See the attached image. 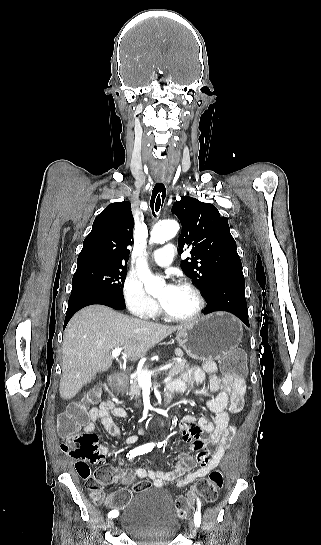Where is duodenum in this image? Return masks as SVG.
<instances>
[{
    "instance_id": "1",
    "label": "duodenum",
    "mask_w": 321,
    "mask_h": 545,
    "mask_svg": "<svg viewBox=\"0 0 321 545\" xmlns=\"http://www.w3.org/2000/svg\"><path fill=\"white\" fill-rule=\"evenodd\" d=\"M124 383H125V378L119 372H113L108 377V385L112 390H115V391L121 390L124 386ZM177 391H179V388L175 383L171 382L167 384L164 390L165 401L168 402ZM161 423H162V419H158L156 421V424H161ZM144 430H145V427H142L140 429V432L142 433L144 432Z\"/></svg>"
}]
</instances>
